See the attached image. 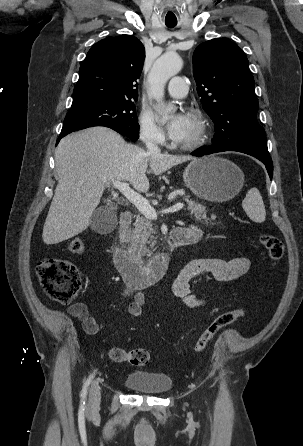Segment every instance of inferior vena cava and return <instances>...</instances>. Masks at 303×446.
I'll return each instance as SVG.
<instances>
[{"mask_svg":"<svg viewBox=\"0 0 303 446\" xmlns=\"http://www.w3.org/2000/svg\"><path fill=\"white\" fill-rule=\"evenodd\" d=\"M146 147H147V152L149 154H153V155H157L160 154V149L157 147V145H155L152 142H147L146 143Z\"/></svg>","mask_w":303,"mask_h":446,"instance_id":"602c4592","label":"inferior vena cava"}]
</instances>
